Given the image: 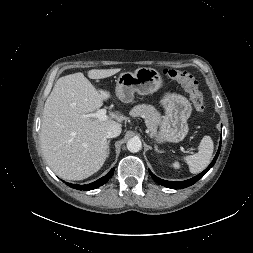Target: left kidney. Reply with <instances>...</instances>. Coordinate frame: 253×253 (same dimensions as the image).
Segmentation results:
<instances>
[{
    "mask_svg": "<svg viewBox=\"0 0 253 253\" xmlns=\"http://www.w3.org/2000/svg\"><path fill=\"white\" fill-rule=\"evenodd\" d=\"M173 167L179 168V164L177 162L173 163Z\"/></svg>",
    "mask_w": 253,
    "mask_h": 253,
    "instance_id": "1",
    "label": "left kidney"
}]
</instances>
